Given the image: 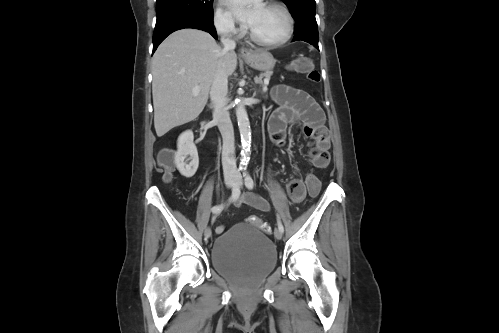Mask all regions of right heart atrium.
Here are the masks:
<instances>
[{"instance_id":"1","label":"right heart atrium","mask_w":499,"mask_h":333,"mask_svg":"<svg viewBox=\"0 0 499 333\" xmlns=\"http://www.w3.org/2000/svg\"><path fill=\"white\" fill-rule=\"evenodd\" d=\"M213 25L216 31L224 36H234L239 33L233 19L221 5H218L215 9Z\"/></svg>"}]
</instances>
